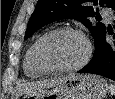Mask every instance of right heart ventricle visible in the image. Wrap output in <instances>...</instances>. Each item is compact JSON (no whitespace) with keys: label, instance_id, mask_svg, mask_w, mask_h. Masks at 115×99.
I'll return each mask as SVG.
<instances>
[{"label":"right heart ventricle","instance_id":"obj_1","mask_svg":"<svg viewBox=\"0 0 115 99\" xmlns=\"http://www.w3.org/2000/svg\"><path fill=\"white\" fill-rule=\"evenodd\" d=\"M36 41L31 44V46L27 49L24 61H23V70L27 77L29 78H38L45 74L35 63L34 60V46Z\"/></svg>","mask_w":115,"mask_h":99}]
</instances>
